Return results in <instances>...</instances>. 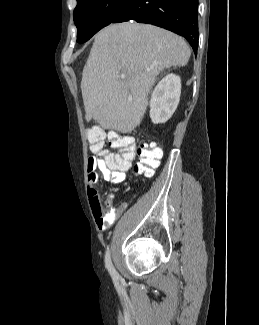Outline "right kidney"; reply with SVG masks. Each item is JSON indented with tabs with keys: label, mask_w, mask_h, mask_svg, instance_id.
I'll return each instance as SVG.
<instances>
[{
	"label": "right kidney",
	"mask_w": 259,
	"mask_h": 325,
	"mask_svg": "<svg viewBox=\"0 0 259 325\" xmlns=\"http://www.w3.org/2000/svg\"><path fill=\"white\" fill-rule=\"evenodd\" d=\"M181 94V79L166 75L155 87L150 100V118L154 124L165 123L175 112Z\"/></svg>",
	"instance_id": "ca27d5eb"
}]
</instances>
